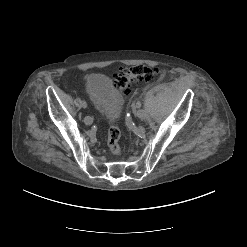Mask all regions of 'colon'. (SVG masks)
Here are the masks:
<instances>
[{"mask_svg":"<svg viewBox=\"0 0 247 247\" xmlns=\"http://www.w3.org/2000/svg\"><path fill=\"white\" fill-rule=\"evenodd\" d=\"M158 74L159 70L157 68L145 65L122 67L114 74V83L123 94L128 95L134 84L151 81ZM120 136L118 125L113 123L108 131L107 145L110 153L114 156H118L121 153Z\"/></svg>","mask_w":247,"mask_h":247,"instance_id":"1","label":"colon"}]
</instances>
